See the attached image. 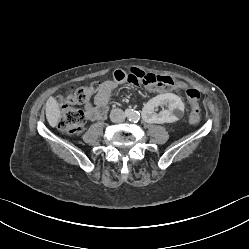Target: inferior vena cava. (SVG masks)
Listing matches in <instances>:
<instances>
[{
	"label": "inferior vena cava",
	"instance_id": "inferior-vena-cava-1",
	"mask_svg": "<svg viewBox=\"0 0 249 249\" xmlns=\"http://www.w3.org/2000/svg\"><path fill=\"white\" fill-rule=\"evenodd\" d=\"M110 119L114 123H121L125 120V113L119 108L113 109L110 113Z\"/></svg>",
	"mask_w": 249,
	"mask_h": 249
}]
</instances>
